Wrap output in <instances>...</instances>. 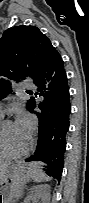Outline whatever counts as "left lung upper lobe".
I'll list each match as a JSON object with an SVG mask.
<instances>
[{
    "instance_id": "left-lung-upper-lobe-1",
    "label": "left lung upper lobe",
    "mask_w": 89,
    "mask_h": 203,
    "mask_svg": "<svg viewBox=\"0 0 89 203\" xmlns=\"http://www.w3.org/2000/svg\"><path fill=\"white\" fill-rule=\"evenodd\" d=\"M50 40L34 26H17L7 29L0 39V99L12 91L14 82L31 77L40 71L44 52ZM34 99L28 100L30 111Z\"/></svg>"
}]
</instances>
